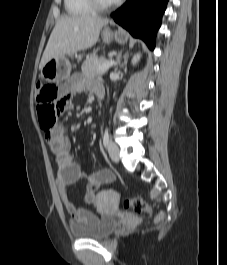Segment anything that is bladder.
<instances>
[{
	"label": "bladder",
	"instance_id": "bladder-1",
	"mask_svg": "<svg viewBox=\"0 0 227 265\" xmlns=\"http://www.w3.org/2000/svg\"><path fill=\"white\" fill-rule=\"evenodd\" d=\"M116 225L114 217L104 216L90 224H73L70 227V232L77 239L101 240L109 236Z\"/></svg>",
	"mask_w": 227,
	"mask_h": 265
}]
</instances>
